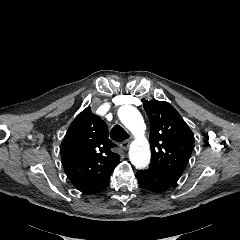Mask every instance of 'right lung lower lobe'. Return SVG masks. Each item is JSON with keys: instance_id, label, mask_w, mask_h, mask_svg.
<instances>
[{"instance_id": "98d812e1", "label": "right lung lower lobe", "mask_w": 240, "mask_h": 240, "mask_svg": "<svg viewBox=\"0 0 240 240\" xmlns=\"http://www.w3.org/2000/svg\"><path fill=\"white\" fill-rule=\"evenodd\" d=\"M109 184V183H108ZM108 184L107 185H105L99 192H101V191H103L104 189H106L107 188V186H108Z\"/></svg>"}]
</instances>
